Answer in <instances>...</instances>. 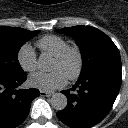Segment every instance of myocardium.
<instances>
[{
    "label": "myocardium",
    "mask_w": 128,
    "mask_h": 128,
    "mask_svg": "<svg viewBox=\"0 0 128 128\" xmlns=\"http://www.w3.org/2000/svg\"><path fill=\"white\" fill-rule=\"evenodd\" d=\"M72 57L76 59V69L67 78L69 80H76L80 77L84 68L83 53L77 45L67 46L62 53L55 56V60L60 63H65Z\"/></svg>",
    "instance_id": "1"
}]
</instances>
